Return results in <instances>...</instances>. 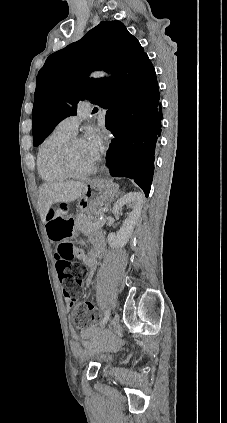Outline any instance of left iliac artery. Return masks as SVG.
<instances>
[{
    "label": "left iliac artery",
    "instance_id": "left-iliac-artery-1",
    "mask_svg": "<svg viewBox=\"0 0 227 423\" xmlns=\"http://www.w3.org/2000/svg\"><path fill=\"white\" fill-rule=\"evenodd\" d=\"M110 312H111L110 308L108 310H106V312L104 314V318L100 322V327H103L107 323V321L109 320V317H110Z\"/></svg>",
    "mask_w": 227,
    "mask_h": 423
}]
</instances>
